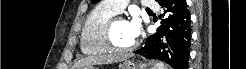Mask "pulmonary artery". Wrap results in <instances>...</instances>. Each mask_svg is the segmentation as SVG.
<instances>
[{"instance_id":"e3ab8cb5","label":"pulmonary artery","mask_w":246,"mask_h":69,"mask_svg":"<svg viewBox=\"0 0 246 69\" xmlns=\"http://www.w3.org/2000/svg\"><path fill=\"white\" fill-rule=\"evenodd\" d=\"M107 5L113 9L116 13H121L124 8L125 4L127 3L126 0H110L106 1ZM145 6H147L149 9H152L154 6H156L155 2H145Z\"/></svg>"}]
</instances>
